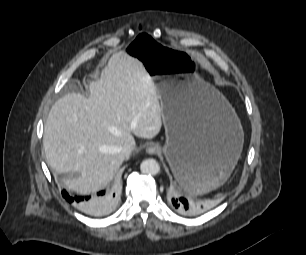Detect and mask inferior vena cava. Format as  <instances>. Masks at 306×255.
<instances>
[{
	"label": "inferior vena cava",
	"instance_id": "obj_1",
	"mask_svg": "<svg viewBox=\"0 0 306 255\" xmlns=\"http://www.w3.org/2000/svg\"><path fill=\"white\" fill-rule=\"evenodd\" d=\"M134 149L135 145L126 143L120 148V152L124 157H127L134 151Z\"/></svg>",
	"mask_w": 306,
	"mask_h": 255
}]
</instances>
